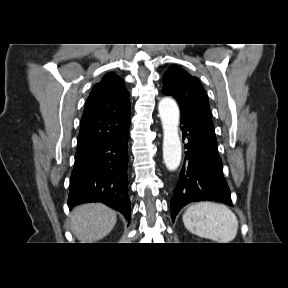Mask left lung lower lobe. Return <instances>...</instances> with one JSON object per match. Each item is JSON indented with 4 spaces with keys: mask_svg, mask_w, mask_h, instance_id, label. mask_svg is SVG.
<instances>
[{
    "mask_svg": "<svg viewBox=\"0 0 288 288\" xmlns=\"http://www.w3.org/2000/svg\"><path fill=\"white\" fill-rule=\"evenodd\" d=\"M185 161L171 199V217L187 203L213 200L232 206L229 187L222 174L215 132L196 118L181 116Z\"/></svg>",
    "mask_w": 288,
    "mask_h": 288,
    "instance_id": "1",
    "label": "left lung lower lobe"
}]
</instances>
